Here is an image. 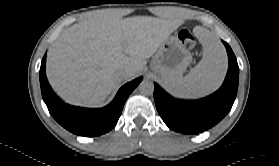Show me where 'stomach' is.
Masks as SVG:
<instances>
[{
    "label": "stomach",
    "mask_w": 279,
    "mask_h": 166,
    "mask_svg": "<svg viewBox=\"0 0 279 166\" xmlns=\"http://www.w3.org/2000/svg\"><path fill=\"white\" fill-rule=\"evenodd\" d=\"M191 61L189 50L177 37L170 36L158 48L151 68L164 83L182 77Z\"/></svg>",
    "instance_id": "1"
}]
</instances>
